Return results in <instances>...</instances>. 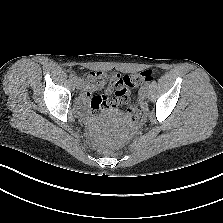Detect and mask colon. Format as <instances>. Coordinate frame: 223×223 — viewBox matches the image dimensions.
Here are the masks:
<instances>
[{
  "label": "colon",
  "instance_id": "1",
  "mask_svg": "<svg viewBox=\"0 0 223 223\" xmlns=\"http://www.w3.org/2000/svg\"><path fill=\"white\" fill-rule=\"evenodd\" d=\"M153 79L152 70H145L139 74L120 76L116 75L110 79L115 88V95L119 98L122 104H128L130 89L137 87L141 83L149 82ZM128 115L132 122L139 123L143 120L144 113L136 105H130L128 108Z\"/></svg>",
  "mask_w": 223,
  "mask_h": 223
}]
</instances>
